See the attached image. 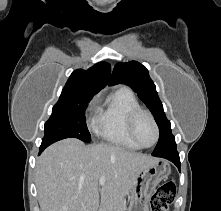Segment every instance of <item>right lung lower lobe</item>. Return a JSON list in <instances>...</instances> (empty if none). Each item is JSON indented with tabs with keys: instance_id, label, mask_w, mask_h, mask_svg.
<instances>
[{
	"instance_id": "obj_1",
	"label": "right lung lower lobe",
	"mask_w": 221,
	"mask_h": 211,
	"mask_svg": "<svg viewBox=\"0 0 221 211\" xmlns=\"http://www.w3.org/2000/svg\"><path fill=\"white\" fill-rule=\"evenodd\" d=\"M49 145H42L40 146V151L39 153H41L46 147H48Z\"/></svg>"
}]
</instances>
